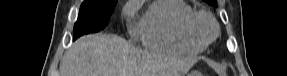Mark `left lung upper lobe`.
<instances>
[{"mask_svg": "<svg viewBox=\"0 0 287 76\" xmlns=\"http://www.w3.org/2000/svg\"><path fill=\"white\" fill-rule=\"evenodd\" d=\"M204 2H207L208 4L212 5V6H215L217 5V2L216 0H203Z\"/></svg>", "mask_w": 287, "mask_h": 76, "instance_id": "left-lung-upper-lobe-1", "label": "left lung upper lobe"}]
</instances>
